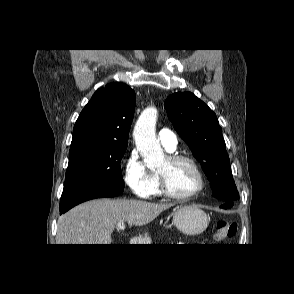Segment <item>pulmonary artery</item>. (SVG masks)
<instances>
[{
	"label": "pulmonary artery",
	"mask_w": 294,
	"mask_h": 294,
	"mask_svg": "<svg viewBox=\"0 0 294 294\" xmlns=\"http://www.w3.org/2000/svg\"><path fill=\"white\" fill-rule=\"evenodd\" d=\"M158 139L161 145L168 151L174 152L177 148V138L174 133L167 129L163 128L158 132Z\"/></svg>",
	"instance_id": "e3ab8cb5"
}]
</instances>
